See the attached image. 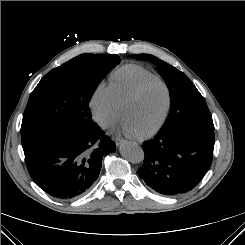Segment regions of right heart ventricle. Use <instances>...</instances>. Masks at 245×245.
<instances>
[{
    "mask_svg": "<svg viewBox=\"0 0 245 245\" xmlns=\"http://www.w3.org/2000/svg\"><path fill=\"white\" fill-rule=\"evenodd\" d=\"M156 76L150 70L136 64H126L110 75V87L118 104L143 80Z\"/></svg>",
    "mask_w": 245,
    "mask_h": 245,
    "instance_id": "right-heart-ventricle-1",
    "label": "right heart ventricle"
}]
</instances>
